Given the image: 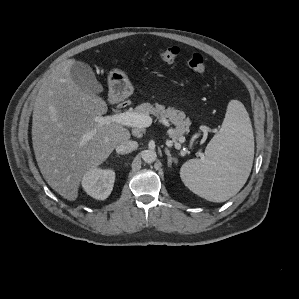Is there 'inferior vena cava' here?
Returning <instances> with one entry per match:
<instances>
[{
	"label": "inferior vena cava",
	"mask_w": 299,
	"mask_h": 299,
	"mask_svg": "<svg viewBox=\"0 0 299 299\" xmlns=\"http://www.w3.org/2000/svg\"><path fill=\"white\" fill-rule=\"evenodd\" d=\"M138 147V143L136 141H122L120 144L116 146V152L119 154H128L132 151L136 150Z\"/></svg>",
	"instance_id": "inferior-vena-cava-1"
}]
</instances>
